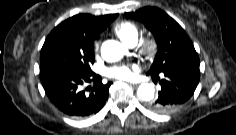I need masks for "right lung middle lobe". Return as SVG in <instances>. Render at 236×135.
<instances>
[{
	"label": "right lung middle lobe",
	"mask_w": 236,
	"mask_h": 135,
	"mask_svg": "<svg viewBox=\"0 0 236 135\" xmlns=\"http://www.w3.org/2000/svg\"><path fill=\"white\" fill-rule=\"evenodd\" d=\"M94 40V37L71 26L54 28L41 49V71L59 69L91 72Z\"/></svg>",
	"instance_id": "obj_1"
}]
</instances>
